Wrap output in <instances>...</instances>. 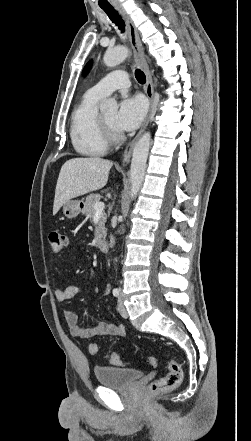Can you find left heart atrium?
Returning a JSON list of instances; mask_svg holds the SVG:
<instances>
[{
  "instance_id": "left-heart-atrium-1",
  "label": "left heart atrium",
  "mask_w": 251,
  "mask_h": 441,
  "mask_svg": "<svg viewBox=\"0 0 251 441\" xmlns=\"http://www.w3.org/2000/svg\"><path fill=\"white\" fill-rule=\"evenodd\" d=\"M146 113V103L140 96L126 97L120 103L115 119V129L119 132L135 130Z\"/></svg>"
}]
</instances>
